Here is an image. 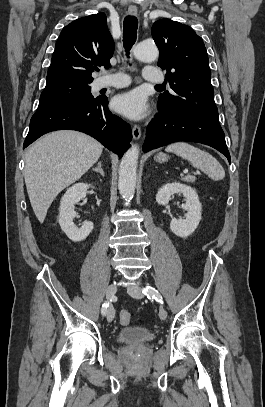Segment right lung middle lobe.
<instances>
[{
	"instance_id": "1",
	"label": "right lung middle lobe",
	"mask_w": 265,
	"mask_h": 407,
	"mask_svg": "<svg viewBox=\"0 0 265 407\" xmlns=\"http://www.w3.org/2000/svg\"><path fill=\"white\" fill-rule=\"evenodd\" d=\"M90 83L73 80L47 82L40 96L36 113L55 107L92 101L94 97L91 94Z\"/></svg>"
}]
</instances>
